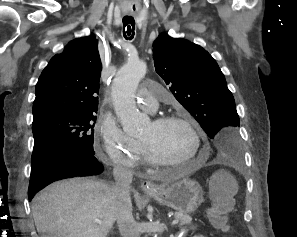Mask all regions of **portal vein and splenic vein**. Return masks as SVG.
Returning <instances> with one entry per match:
<instances>
[{"label":"portal vein and splenic vein","instance_id":"18ae733b","mask_svg":"<svg viewBox=\"0 0 297 237\" xmlns=\"http://www.w3.org/2000/svg\"><path fill=\"white\" fill-rule=\"evenodd\" d=\"M95 222L98 223L99 225H102L103 224V222L100 221V220H95ZM178 223H179V220L178 219H175V220L172 221V225H176Z\"/></svg>","mask_w":297,"mask_h":237}]
</instances>
